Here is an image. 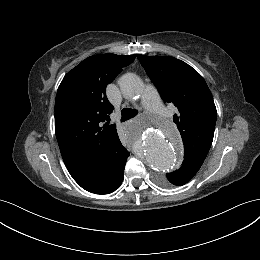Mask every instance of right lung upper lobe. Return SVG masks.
<instances>
[{"mask_svg": "<svg viewBox=\"0 0 260 260\" xmlns=\"http://www.w3.org/2000/svg\"><path fill=\"white\" fill-rule=\"evenodd\" d=\"M136 55L101 54L83 60L63 78L55 101V133L63 161L77 179L125 148L105 90Z\"/></svg>", "mask_w": 260, "mask_h": 260, "instance_id": "cb5924a9", "label": "right lung upper lobe"}]
</instances>
